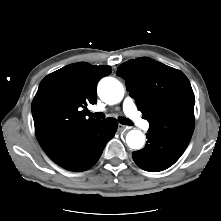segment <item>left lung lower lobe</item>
Listing matches in <instances>:
<instances>
[{"mask_svg":"<svg viewBox=\"0 0 221 221\" xmlns=\"http://www.w3.org/2000/svg\"><path fill=\"white\" fill-rule=\"evenodd\" d=\"M146 136V146L132 155L135 163L146 171L158 172L169 168L186 149L150 132Z\"/></svg>","mask_w":221,"mask_h":221,"instance_id":"obj_1","label":"left lung lower lobe"}]
</instances>
